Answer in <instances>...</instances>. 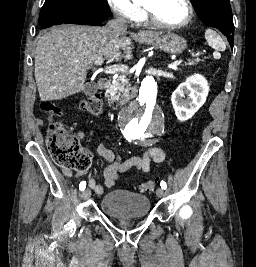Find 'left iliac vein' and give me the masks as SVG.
I'll return each instance as SVG.
<instances>
[{
	"label": "left iliac vein",
	"mask_w": 256,
	"mask_h": 267,
	"mask_svg": "<svg viewBox=\"0 0 256 267\" xmlns=\"http://www.w3.org/2000/svg\"><path fill=\"white\" fill-rule=\"evenodd\" d=\"M156 195L158 196V197H164L165 196V191L162 189V188H158L157 190H156Z\"/></svg>",
	"instance_id": "1"
}]
</instances>
